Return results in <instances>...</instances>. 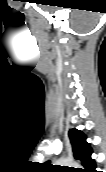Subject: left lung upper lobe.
<instances>
[{"label": "left lung upper lobe", "instance_id": "left-lung-upper-lobe-1", "mask_svg": "<svg viewBox=\"0 0 106 172\" xmlns=\"http://www.w3.org/2000/svg\"><path fill=\"white\" fill-rule=\"evenodd\" d=\"M69 138L73 149L74 158L82 163L85 169L79 170L80 172H96L95 161L91 158L92 149L86 142V136L77 129H71L69 131ZM46 165L51 166L50 162H46ZM58 169V168H54Z\"/></svg>", "mask_w": 106, "mask_h": 172}]
</instances>
